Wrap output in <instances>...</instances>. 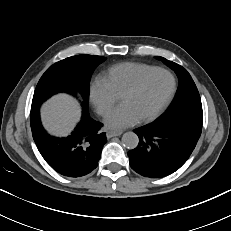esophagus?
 I'll return each mask as SVG.
<instances>
[{
	"label": "esophagus",
	"mask_w": 231,
	"mask_h": 231,
	"mask_svg": "<svg viewBox=\"0 0 231 231\" xmlns=\"http://www.w3.org/2000/svg\"><path fill=\"white\" fill-rule=\"evenodd\" d=\"M122 134L121 131H108L106 133V136L107 138H112V137H115V136H120Z\"/></svg>",
	"instance_id": "obj_1"
}]
</instances>
